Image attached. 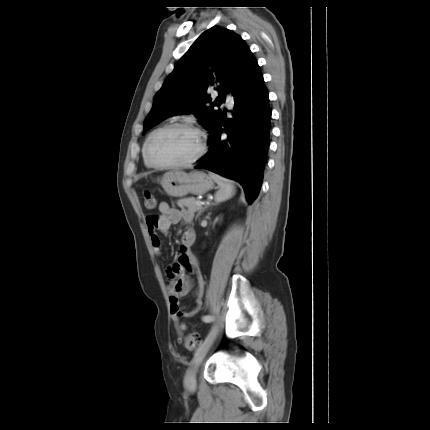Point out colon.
Listing matches in <instances>:
<instances>
[{"instance_id": "colon-1", "label": "colon", "mask_w": 430, "mask_h": 430, "mask_svg": "<svg viewBox=\"0 0 430 430\" xmlns=\"http://www.w3.org/2000/svg\"><path fill=\"white\" fill-rule=\"evenodd\" d=\"M144 199H145V205L147 208L153 209L155 207L156 199L151 192L146 191L144 193ZM199 341H200V337L195 333H191L185 338L184 346L188 351H193L196 349Z\"/></svg>"}]
</instances>
